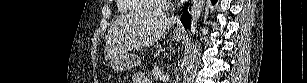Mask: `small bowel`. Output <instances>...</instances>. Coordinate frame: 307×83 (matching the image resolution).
Instances as JSON below:
<instances>
[{"label":"small bowel","instance_id":"1","mask_svg":"<svg viewBox=\"0 0 307 83\" xmlns=\"http://www.w3.org/2000/svg\"><path fill=\"white\" fill-rule=\"evenodd\" d=\"M133 83H150V80L144 73H136L133 76Z\"/></svg>","mask_w":307,"mask_h":83}]
</instances>
